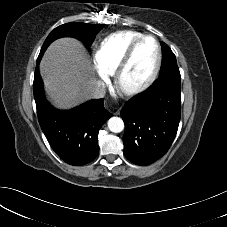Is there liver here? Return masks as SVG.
I'll use <instances>...</instances> for the list:
<instances>
[{
  "mask_svg": "<svg viewBox=\"0 0 227 227\" xmlns=\"http://www.w3.org/2000/svg\"><path fill=\"white\" fill-rule=\"evenodd\" d=\"M40 74L47 94L60 108L89 99L96 82L84 46L73 38L58 39L48 47L40 63Z\"/></svg>",
  "mask_w": 227,
  "mask_h": 227,
  "instance_id": "obj_1",
  "label": "liver"
}]
</instances>
